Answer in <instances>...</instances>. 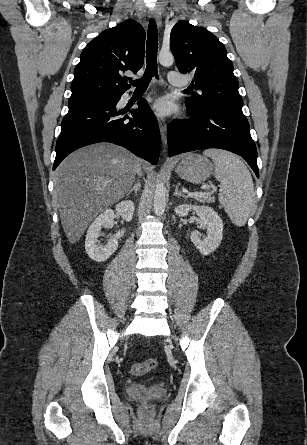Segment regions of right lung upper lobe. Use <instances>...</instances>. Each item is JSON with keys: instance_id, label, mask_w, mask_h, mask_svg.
<instances>
[{"instance_id": "obj_1", "label": "right lung upper lobe", "mask_w": 307, "mask_h": 445, "mask_svg": "<svg viewBox=\"0 0 307 445\" xmlns=\"http://www.w3.org/2000/svg\"><path fill=\"white\" fill-rule=\"evenodd\" d=\"M145 31L135 20L107 29L82 51L69 102L122 94L130 85L120 72L136 73L144 62Z\"/></svg>"}]
</instances>
